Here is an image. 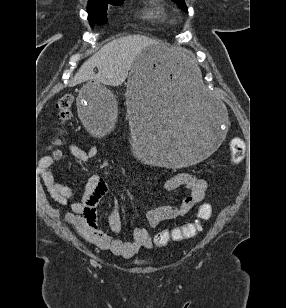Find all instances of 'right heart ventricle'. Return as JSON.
Instances as JSON below:
<instances>
[{
	"mask_svg": "<svg viewBox=\"0 0 286 308\" xmlns=\"http://www.w3.org/2000/svg\"><path fill=\"white\" fill-rule=\"evenodd\" d=\"M144 16L149 19L160 20L165 17V10L161 0H149V5L144 11Z\"/></svg>",
	"mask_w": 286,
	"mask_h": 308,
	"instance_id": "e07e8e85",
	"label": "right heart ventricle"
}]
</instances>
